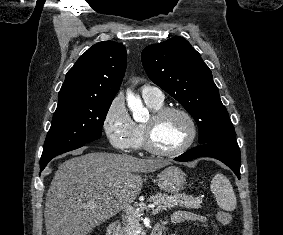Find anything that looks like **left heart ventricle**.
<instances>
[{
	"instance_id": "left-heart-ventricle-1",
	"label": "left heart ventricle",
	"mask_w": 283,
	"mask_h": 235,
	"mask_svg": "<svg viewBox=\"0 0 283 235\" xmlns=\"http://www.w3.org/2000/svg\"><path fill=\"white\" fill-rule=\"evenodd\" d=\"M146 124L152 125V142L156 148L170 151L181 146L189 134L188 123L178 113H170L156 123L151 118Z\"/></svg>"
}]
</instances>
